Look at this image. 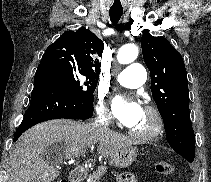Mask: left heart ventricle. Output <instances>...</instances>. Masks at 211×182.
<instances>
[{"label":"left heart ventricle","mask_w":211,"mask_h":182,"mask_svg":"<svg viewBox=\"0 0 211 182\" xmlns=\"http://www.w3.org/2000/svg\"><path fill=\"white\" fill-rule=\"evenodd\" d=\"M154 124V117L149 112L143 110L138 121L130 129L139 133H148L152 130Z\"/></svg>","instance_id":"obj_1"}]
</instances>
